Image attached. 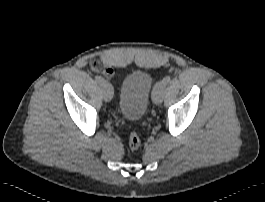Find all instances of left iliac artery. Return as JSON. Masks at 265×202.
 <instances>
[{
  "mask_svg": "<svg viewBox=\"0 0 265 202\" xmlns=\"http://www.w3.org/2000/svg\"><path fill=\"white\" fill-rule=\"evenodd\" d=\"M170 81H171V77H170L169 75H167V76H165V77L163 78L162 83H163L164 85H167ZM159 86H160V84L157 83V84L155 85V87H154V91H155L156 89H158Z\"/></svg>",
  "mask_w": 265,
  "mask_h": 202,
  "instance_id": "44dca946",
  "label": "left iliac artery"
}]
</instances>
